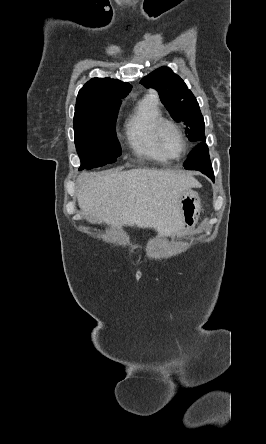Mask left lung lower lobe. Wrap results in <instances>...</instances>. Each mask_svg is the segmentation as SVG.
<instances>
[{"label": "left lung lower lobe", "mask_w": 266, "mask_h": 444, "mask_svg": "<svg viewBox=\"0 0 266 444\" xmlns=\"http://www.w3.org/2000/svg\"><path fill=\"white\" fill-rule=\"evenodd\" d=\"M185 169L198 170L214 181V173L209 159L208 147L205 143L199 145L184 163Z\"/></svg>", "instance_id": "obj_1"}]
</instances>
